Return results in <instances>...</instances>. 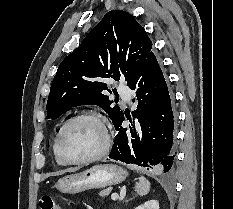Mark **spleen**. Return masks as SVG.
Returning <instances> with one entry per match:
<instances>
[{"label":"spleen","mask_w":233,"mask_h":209,"mask_svg":"<svg viewBox=\"0 0 233 209\" xmlns=\"http://www.w3.org/2000/svg\"><path fill=\"white\" fill-rule=\"evenodd\" d=\"M135 190L140 196L146 195L150 190V182L143 176L139 177Z\"/></svg>","instance_id":"3e777b00"}]
</instances>
